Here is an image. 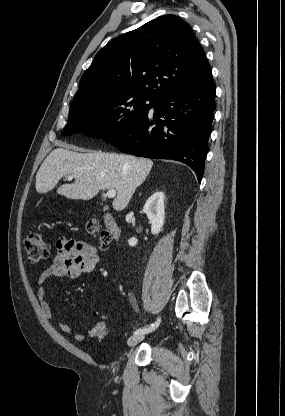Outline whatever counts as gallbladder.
Listing matches in <instances>:
<instances>
[{
  "instance_id": "1",
  "label": "gallbladder",
  "mask_w": 285,
  "mask_h": 416,
  "mask_svg": "<svg viewBox=\"0 0 285 416\" xmlns=\"http://www.w3.org/2000/svg\"><path fill=\"white\" fill-rule=\"evenodd\" d=\"M108 210V206H103V212H106Z\"/></svg>"
}]
</instances>
